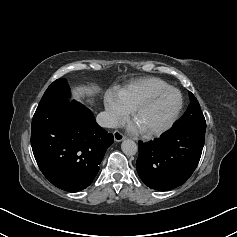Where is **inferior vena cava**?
<instances>
[{
	"label": "inferior vena cava",
	"mask_w": 237,
	"mask_h": 237,
	"mask_svg": "<svg viewBox=\"0 0 237 237\" xmlns=\"http://www.w3.org/2000/svg\"><path fill=\"white\" fill-rule=\"evenodd\" d=\"M96 121L101 127L116 128L118 126L116 117L108 112H100L96 117Z\"/></svg>",
	"instance_id": "inferior-vena-cava-1"
}]
</instances>
